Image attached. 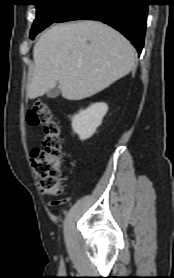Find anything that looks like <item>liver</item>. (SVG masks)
Here are the masks:
<instances>
[{"label":"liver","instance_id":"liver-1","mask_svg":"<svg viewBox=\"0 0 174 278\" xmlns=\"http://www.w3.org/2000/svg\"><path fill=\"white\" fill-rule=\"evenodd\" d=\"M135 57L131 43L106 24L84 20L55 25L34 45L27 97L42 96L57 83L67 100L90 97L126 76Z\"/></svg>","mask_w":174,"mask_h":278}]
</instances>
